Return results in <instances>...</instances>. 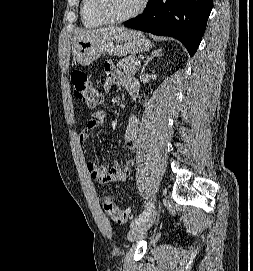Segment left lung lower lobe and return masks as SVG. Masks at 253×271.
<instances>
[{
    "instance_id": "1",
    "label": "left lung lower lobe",
    "mask_w": 253,
    "mask_h": 271,
    "mask_svg": "<svg viewBox=\"0 0 253 271\" xmlns=\"http://www.w3.org/2000/svg\"><path fill=\"white\" fill-rule=\"evenodd\" d=\"M213 0H150L140 16L124 26L178 39L193 56L212 10Z\"/></svg>"
}]
</instances>
